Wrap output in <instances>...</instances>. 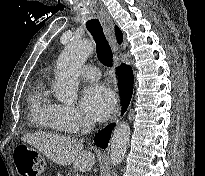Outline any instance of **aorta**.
<instances>
[{
	"instance_id": "1",
	"label": "aorta",
	"mask_w": 205,
	"mask_h": 176,
	"mask_svg": "<svg viewBox=\"0 0 205 176\" xmlns=\"http://www.w3.org/2000/svg\"><path fill=\"white\" fill-rule=\"evenodd\" d=\"M93 50L88 40H72L68 43L57 61L53 90L57 98L73 103L77 97L79 75L82 65ZM130 127L122 122L114 129L111 138L110 159L113 166L122 162L129 142Z\"/></svg>"
}]
</instances>
